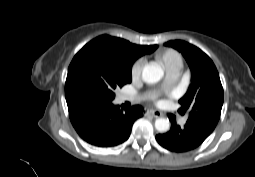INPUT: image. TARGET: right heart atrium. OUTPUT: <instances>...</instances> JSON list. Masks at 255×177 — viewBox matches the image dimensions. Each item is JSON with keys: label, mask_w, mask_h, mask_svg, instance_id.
Returning a JSON list of instances; mask_svg holds the SVG:
<instances>
[{"label": "right heart atrium", "mask_w": 255, "mask_h": 177, "mask_svg": "<svg viewBox=\"0 0 255 177\" xmlns=\"http://www.w3.org/2000/svg\"><path fill=\"white\" fill-rule=\"evenodd\" d=\"M145 60L143 58L137 59L131 67V75L133 79H138L141 76Z\"/></svg>", "instance_id": "1"}]
</instances>
